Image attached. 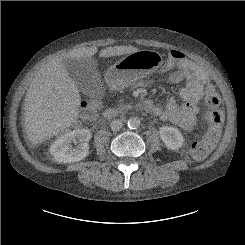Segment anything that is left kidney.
Returning a JSON list of instances; mask_svg holds the SVG:
<instances>
[{"label": "left kidney", "instance_id": "obj_1", "mask_svg": "<svg viewBox=\"0 0 245 245\" xmlns=\"http://www.w3.org/2000/svg\"><path fill=\"white\" fill-rule=\"evenodd\" d=\"M159 133L162 141L168 149L178 150L183 145V136L177 128L162 126L159 129Z\"/></svg>", "mask_w": 245, "mask_h": 245}]
</instances>
